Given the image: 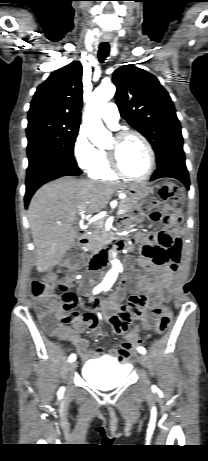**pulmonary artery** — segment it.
<instances>
[{
	"mask_svg": "<svg viewBox=\"0 0 208 461\" xmlns=\"http://www.w3.org/2000/svg\"><path fill=\"white\" fill-rule=\"evenodd\" d=\"M101 116L113 129L118 128L119 111L114 103H107L102 109Z\"/></svg>",
	"mask_w": 208,
	"mask_h": 461,
	"instance_id": "e3ab8cb5",
	"label": "pulmonary artery"
}]
</instances>
